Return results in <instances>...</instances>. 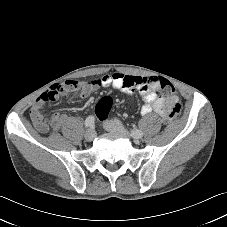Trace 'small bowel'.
<instances>
[{"label": "small bowel", "mask_w": 227, "mask_h": 227, "mask_svg": "<svg viewBox=\"0 0 227 227\" xmlns=\"http://www.w3.org/2000/svg\"><path fill=\"white\" fill-rule=\"evenodd\" d=\"M159 79L155 76L141 77L113 73L95 78L90 82L68 80L63 83H57L36 99L30 109V118L35 128L40 132H46L49 127L57 130L64 122L65 116L56 112L46 118L41 110L47 102L54 101L59 96L70 91H76L79 97L86 99L94 89L111 86L128 95L137 92L144 101L141 107L142 115L154 111L167 122H174L181 115L179 98L174 93L169 95L160 94Z\"/></svg>", "instance_id": "small-bowel-1"}]
</instances>
